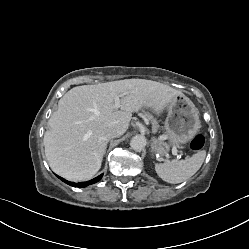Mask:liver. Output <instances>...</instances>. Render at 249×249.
I'll list each match as a JSON object with an SVG mask.
<instances>
[{
	"label": "liver",
	"instance_id": "obj_1",
	"mask_svg": "<svg viewBox=\"0 0 249 249\" xmlns=\"http://www.w3.org/2000/svg\"><path fill=\"white\" fill-rule=\"evenodd\" d=\"M180 91L151 80L125 79L70 89L58 102L44 134L45 155L51 169L70 181H85L100 169L107 140L102 131L111 127L123 135L132 113L143 107L157 114ZM120 96V109L114 107ZM119 97V98H120Z\"/></svg>",
	"mask_w": 249,
	"mask_h": 249
}]
</instances>
